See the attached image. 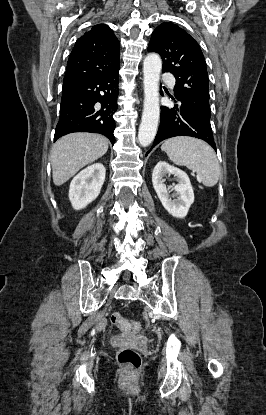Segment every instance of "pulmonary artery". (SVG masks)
Listing matches in <instances>:
<instances>
[{
	"label": "pulmonary artery",
	"instance_id": "obj_1",
	"mask_svg": "<svg viewBox=\"0 0 266 415\" xmlns=\"http://www.w3.org/2000/svg\"><path fill=\"white\" fill-rule=\"evenodd\" d=\"M164 80L165 82L170 86V87H174L175 86V80L173 77H171L170 75H164Z\"/></svg>",
	"mask_w": 266,
	"mask_h": 415
}]
</instances>
